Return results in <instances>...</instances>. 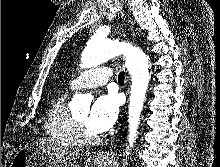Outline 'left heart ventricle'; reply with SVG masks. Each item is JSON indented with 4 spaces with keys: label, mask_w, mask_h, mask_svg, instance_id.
Masks as SVG:
<instances>
[{
    "label": "left heart ventricle",
    "mask_w": 220,
    "mask_h": 167,
    "mask_svg": "<svg viewBox=\"0 0 220 167\" xmlns=\"http://www.w3.org/2000/svg\"><path fill=\"white\" fill-rule=\"evenodd\" d=\"M76 117L78 118L79 121H81V122L83 123V125L85 126V128H86L90 133H94V132H92V131L88 128V126H87L88 111L81 112V113L77 114Z\"/></svg>",
    "instance_id": "b2bd125f"
}]
</instances>
